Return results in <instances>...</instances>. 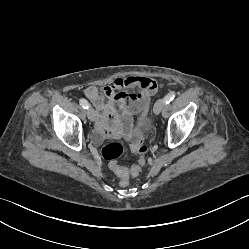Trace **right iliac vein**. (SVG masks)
Wrapping results in <instances>:
<instances>
[{"label": "right iliac vein", "mask_w": 249, "mask_h": 249, "mask_svg": "<svg viewBox=\"0 0 249 249\" xmlns=\"http://www.w3.org/2000/svg\"><path fill=\"white\" fill-rule=\"evenodd\" d=\"M86 113H87L88 119H89L90 121H94V120H95L96 114H95V111H94L93 108L89 107V108L87 109V112H86Z\"/></svg>", "instance_id": "1"}]
</instances>
